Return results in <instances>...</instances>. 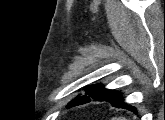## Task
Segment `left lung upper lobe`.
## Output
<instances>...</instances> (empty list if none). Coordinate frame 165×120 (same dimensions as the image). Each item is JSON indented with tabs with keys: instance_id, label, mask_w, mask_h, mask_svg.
I'll return each instance as SVG.
<instances>
[{
	"instance_id": "obj_1",
	"label": "left lung upper lobe",
	"mask_w": 165,
	"mask_h": 120,
	"mask_svg": "<svg viewBox=\"0 0 165 120\" xmlns=\"http://www.w3.org/2000/svg\"><path fill=\"white\" fill-rule=\"evenodd\" d=\"M115 91L105 89L102 85H92L85 89V94L81 96H77L75 99H73L67 107L80 105L84 103H88L91 101V99H96L98 101H102L112 95Z\"/></svg>"
}]
</instances>
